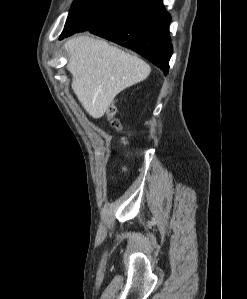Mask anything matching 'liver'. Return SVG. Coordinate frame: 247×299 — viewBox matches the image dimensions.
<instances>
[{
  "instance_id": "liver-1",
  "label": "liver",
  "mask_w": 247,
  "mask_h": 299,
  "mask_svg": "<svg viewBox=\"0 0 247 299\" xmlns=\"http://www.w3.org/2000/svg\"><path fill=\"white\" fill-rule=\"evenodd\" d=\"M72 90L86 112L102 117L121 91L145 80L150 66L137 56L88 35L74 37L64 44Z\"/></svg>"
}]
</instances>
